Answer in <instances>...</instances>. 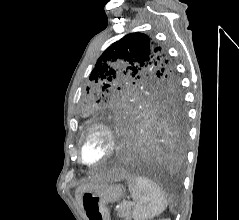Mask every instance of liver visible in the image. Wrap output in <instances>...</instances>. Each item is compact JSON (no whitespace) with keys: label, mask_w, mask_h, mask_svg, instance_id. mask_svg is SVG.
<instances>
[{"label":"liver","mask_w":239,"mask_h":220,"mask_svg":"<svg viewBox=\"0 0 239 220\" xmlns=\"http://www.w3.org/2000/svg\"><path fill=\"white\" fill-rule=\"evenodd\" d=\"M126 176L123 170H115L113 172L103 174L91 179L89 182L82 184L76 190V199L81 205V196L84 192L101 187L105 184L122 180Z\"/></svg>","instance_id":"1"}]
</instances>
